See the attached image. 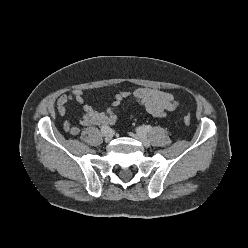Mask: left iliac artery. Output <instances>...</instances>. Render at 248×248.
<instances>
[{
	"mask_svg": "<svg viewBox=\"0 0 248 248\" xmlns=\"http://www.w3.org/2000/svg\"><path fill=\"white\" fill-rule=\"evenodd\" d=\"M151 131H152V126H150V125H143V126L137 128V132H140L143 134L149 133Z\"/></svg>",
	"mask_w": 248,
	"mask_h": 248,
	"instance_id": "44dca946",
	"label": "left iliac artery"
}]
</instances>
